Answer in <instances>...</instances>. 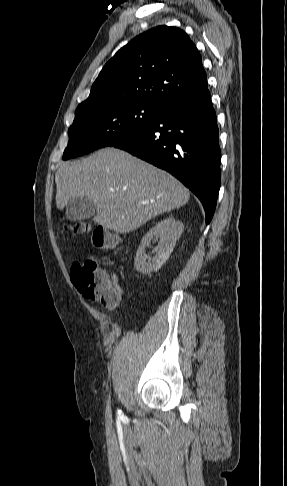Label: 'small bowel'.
<instances>
[{
	"label": "small bowel",
	"mask_w": 287,
	"mask_h": 486,
	"mask_svg": "<svg viewBox=\"0 0 287 486\" xmlns=\"http://www.w3.org/2000/svg\"><path fill=\"white\" fill-rule=\"evenodd\" d=\"M112 282H113V285L114 287L116 288V290L119 292L121 298L124 296V289L122 288V286L119 284L118 282V279L116 276H112Z\"/></svg>",
	"instance_id": "1"
}]
</instances>
